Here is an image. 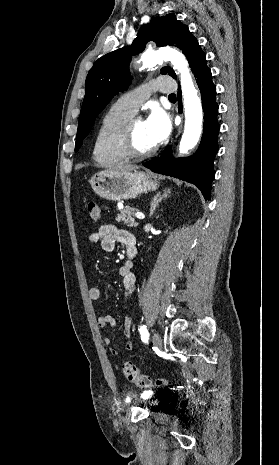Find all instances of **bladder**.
Segmentation results:
<instances>
[{"label":"bladder","mask_w":279,"mask_h":465,"mask_svg":"<svg viewBox=\"0 0 279 465\" xmlns=\"http://www.w3.org/2000/svg\"><path fill=\"white\" fill-rule=\"evenodd\" d=\"M151 404H152V405H156V404H157V401L154 400V401L151 402Z\"/></svg>","instance_id":"1"}]
</instances>
